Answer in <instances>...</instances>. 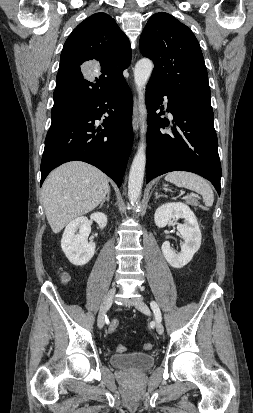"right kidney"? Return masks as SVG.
Masks as SVG:
<instances>
[{
  "instance_id": "right-kidney-1",
  "label": "right kidney",
  "mask_w": 253,
  "mask_h": 413,
  "mask_svg": "<svg viewBox=\"0 0 253 413\" xmlns=\"http://www.w3.org/2000/svg\"><path fill=\"white\" fill-rule=\"evenodd\" d=\"M101 229L107 224V216L102 212H95L90 216ZM77 230L79 233L76 234ZM91 232V222L87 217H78L71 221L65 228L61 247L68 260L77 266L87 264L95 254V243H88Z\"/></svg>"
}]
</instances>
